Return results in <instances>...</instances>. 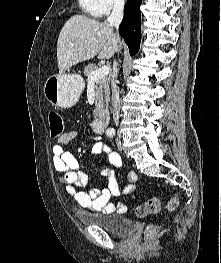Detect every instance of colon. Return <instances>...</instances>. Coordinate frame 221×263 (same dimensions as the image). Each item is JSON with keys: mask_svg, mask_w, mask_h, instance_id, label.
<instances>
[{"mask_svg": "<svg viewBox=\"0 0 221 263\" xmlns=\"http://www.w3.org/2000/svg\"><path fill=\"white\" fill-rule=\"evenodd\" d=\"M49 119V127H50V136L52 138H57L62 135L63 133V119L59 112L57 111H50L48 115ZM178 206L177 197L173 196L169 199L167 203L168 210L172 211L176 209ZM161 202L160 199L156 196L151 197L146 202L139 204L136 209L135 213L138 217L144 218L152 214H156L160 211ZM156 231V227L154 225H149L146 229L147 235H152Z\"/></svg>", "mask_w": 221, "mask_h": 263, "instance_id": "obj_1", "label": "colon"}]
</instances>
